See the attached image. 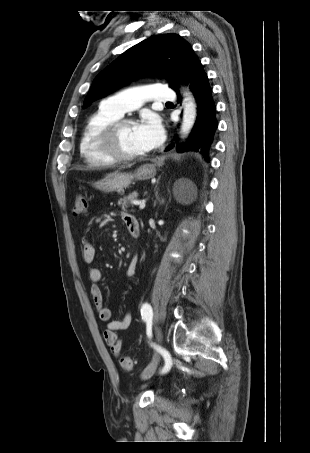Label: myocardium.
Returning <instances> with one entry per match:
<instances>
[{
  "label": "myocardium",
  "mask_w": 310,
  "mask_h": 453,
  "mask_svg": "<svg viewBox=\"0 0 310 453\" xmlns=\"http://www.w3.org/2000/svg\"><path fill=\"white\" fill-rule=\"evenodd\" d=\"M130 124H135V121L131 118L120 117L110 123L99 135L100 150L115 162H133L147 156V153L127 155L121 152L118 146V136L121 129Z\"/></svg>",
  "instance_id": "obj_1"
}]
</instances>
